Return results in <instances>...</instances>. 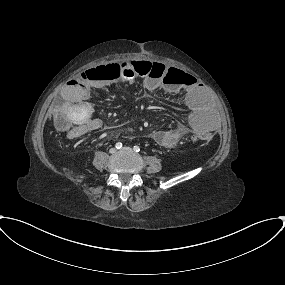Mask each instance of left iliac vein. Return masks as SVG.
Wrapping results in <instances>:
<instances>
[{"label": "left iliac vein", "instance_id": "obj_1", "mask_svg": "<svg viewBox=\"0 0 285 285\" xmlns=\"http://www.w3.org/2000/svg\"><path fill=\"white\" fill-rule=\"evenodd\" d=\"M121 150L122 151H128V152L132 151V149L130 147H123Z\"/></svg>", "mask_w": 285, "mask_h": 285}]
</instances>
